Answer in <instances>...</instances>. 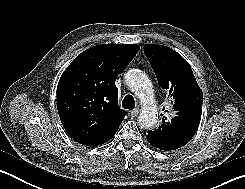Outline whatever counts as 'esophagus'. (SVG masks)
<instances>
[{
	"instance_id": "esophagus-1",
	"label": "esophagus",
	"mask_w": 245,
	"mask_h": 189,
	"mask_svg": "<svg viewBox=\"0 0 245 189\" xmlns=\"http://www.w3.org/2000/svg\"><path fill=\"white\" fill-rule=\"evenodd\" d=\"M139 112H140V109L137 108V109L132 110L130 114L131 116L136 117L139 114Z\"/></svg>"
}]
</instances>
